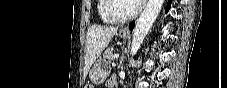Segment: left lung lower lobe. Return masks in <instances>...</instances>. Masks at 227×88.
<instances>
[{"instance_id": "0a47b994", "label": "left lung lower lobe", "mask_w": 227, "mask_h": 88, "mask_svg": "<svg viewBox=\"0 0 227 88\" xmlns=\"http://www.w3.org/2000/svg\"><path fill=\"white\" fill-rule=\"evenodd\" d=\"M171 2H172V0H169V1H168L167 8H166V12H168V10H169V8H170V6H171ZM133 27H134V23H131L130 26H129V28H130L131 30H133Z\"/></svg>"}]
</instances>
